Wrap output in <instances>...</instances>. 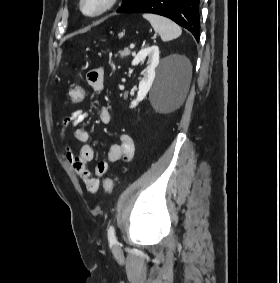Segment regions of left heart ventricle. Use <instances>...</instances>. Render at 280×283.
<instances>
[{"label":"left heart ventricle","instance_id":"b2bd125f","mask_svg":"<svg viewBox=\"0 0 280 283\" xmlns=\"http://www.w3.org/2000/svg\"><path fill=\"white\" fill-rule=\"evenodd\" d=\"M101 4V0H86L85 9L88 12L96 10Z\"/></svg>","mask_w":280,"mask_h":283}]
</instances>
